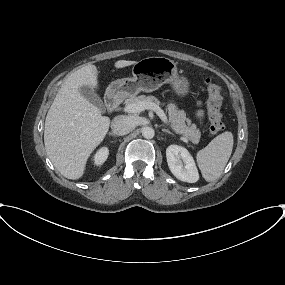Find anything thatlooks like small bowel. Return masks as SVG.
Wrapping results in <instances>:
<instances>
[{"label": "small bowel", "mask_w": 285, "mask_h": 285, "mask_svg": "<svg viewBox=\"0 0 285 285\" xmlns=\"http://www.w3.org/2000/svg\"><path fill=\"white\" fill-rule=\"evenodd\" d=\"M202 115H203V112H202L201 110H199L198 113H197V116H198L199 118H201Z\"/></svg>", "instance_id": "1"}]
</instances>
